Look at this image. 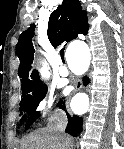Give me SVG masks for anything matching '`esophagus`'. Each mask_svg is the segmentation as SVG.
Wrapping results in <instances>:
<instances>
[{"mask_svg": "<svg viewBox=\"0 0 124 149\" xmlns=\"http://www.w3.org/2000/svg\"><path fill=\"white\" fill-rule=\"evenodd\" d=\"M76 90H81L82 89V83H81V81H78L77 83H76Z\"/></svg>", "mask_w": 124, "mask_h": 149, "instance_id": "1", "label": "esophagus"}]
</instances>
